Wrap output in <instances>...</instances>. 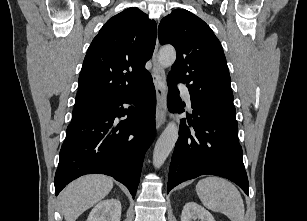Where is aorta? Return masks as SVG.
Listing matches in <instances>:
<instances>
[{"instance_id": "aorta-1", "label": "aorta", "mask_w": 307, "mask_h": 221, "mask_svg": "<svg viewBox=\"0 0 307 221\" xmlns=\"http://www.w3.org/2000/svg\"><path fill=\"white\" fill-rule=\"evenodd\" d=\"M176 60V51L172 46L160 49L158 61L162 67L171 66ZM179 136V126L175 122H169L158 138L153 151V165L160 168L170 152L173 150Z\"/></svg>"}]
</instances>
